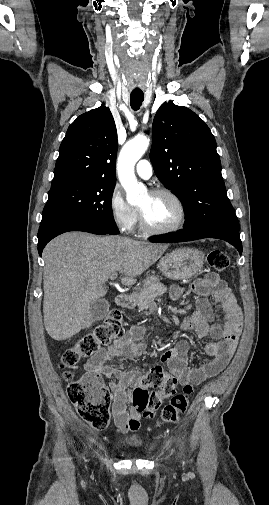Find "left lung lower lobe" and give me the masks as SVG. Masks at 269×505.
I'll return each mask as SVG.
<instances>
[{
	"label": "left lung lower lobe",
	"mask_w": 269,
	"mask_h": 505,
	"mask_svg": "<svg viewBox=\"0 0 269 505\" xmlns=\"http://www.w3.org/2000/svg\"><path fill=\"white\" fill-rule=\"evenodd\" d=\"M202 238H217L227 241L232 244L241 254L242 253V242L240 240L239 228L234 226H219L206 231L197 233H185L179 231L178 233L153 238L151 242H182V241H192Z\"/></svg>",
	"instance_id": "1"
}]
</instances>
